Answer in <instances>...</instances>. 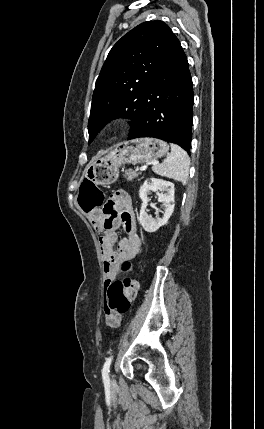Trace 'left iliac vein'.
<instances>
[{
	"mask_svg": "<svg viewBox=\"0 0 264 429\" xmlns=\"http://www.w3.org/2000/svg\"><path fill=\"white\" fill-rule=\"evenodd\" d=\"M111 384L114 385L115 384V378L114 375L111 376Z\"/></svg>",
	"mask_w": 264,
	"mask_h": 429,
	"instance_id": "4c4485c4",
	"label": "left iliac vein"
}]
</instances>
